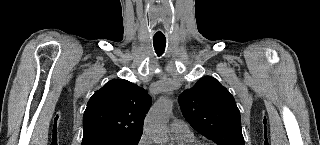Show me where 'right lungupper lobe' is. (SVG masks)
Masks as SVG:
<instances>
[{"label": "right lung upper lobe", "mask_w": 320, "mask_h": 145, "mask_svg": "<svg viewBox=\"0 0 320 145\" xmlns=\"http://www.w3.org/2000/svg\"><path fill=\"white\" fill-rule=\"evenodd\" d=\"M150 95L124 79L107 82L89 100L83 116V140L101 136H139Z\"/></svg>", "instance_id": "right-lung-upper-lobe-1"}]
</instances>
